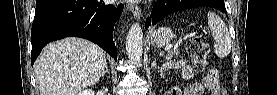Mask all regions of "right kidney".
I'll return each instance as SVG.
<instances>
[{
	"mask_svg": "<svg viewBox=\"0 0 277 95\" xmlns=\"http://www.w3.org/2000/svg\"><path fill=\"white\" fill-rule=\"evenodd\" d=\"M78 95H94V91L92 89H86L78 93Z\"/></svg>",
	"mask_w": 277,
	"mask_h": 95,
	"instance_id": "right-kidney-1",
	"label": "right kidney"
}]
</instances>
